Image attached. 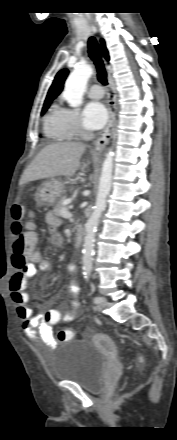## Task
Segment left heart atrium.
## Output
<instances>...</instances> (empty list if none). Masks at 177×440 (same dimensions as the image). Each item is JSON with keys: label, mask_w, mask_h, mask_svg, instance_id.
I'll list each match as a JSON object with an SVG mask.
<instances>
[{"label": "left heart atrium", "mask_w": 177, "mask_h": 440, "mask_svg": "<svg viewBox=\"0 0 177 440\" xmlns=\"http://www.w3.org/2000/svg\"><path fill=\"white\" fill-rule=\"evenodd\" d=\"M107 118L108 112L100 102H90L83 110V120L88 129L96 130L102 128Z\"/></svg>", "instance_id": "obj_1"}]
</instances>
